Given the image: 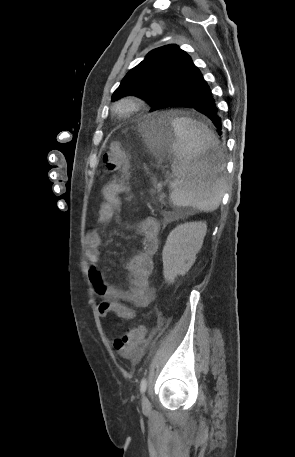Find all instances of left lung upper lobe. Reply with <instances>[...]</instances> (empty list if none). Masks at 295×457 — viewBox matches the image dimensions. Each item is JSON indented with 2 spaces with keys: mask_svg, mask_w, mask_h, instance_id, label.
Wrapping results in <instances>:
<instances>
[{
  "mask_svg": "<svg viewBox=\"0 0 295 457\" xmlns=\"http://www.w3.org/2000/svg\"><path fill=\"white\" fill-rule=\"evenodd\" d=\"M195 67L191 57L175 44L150 51L131 69L115 90L112 99L134 95L153 104L161 103L190 85L188 74Z\"/></svg>",
  "mask_w": 295,
  "mask_h": 457,
  "instance_id": "1",
  "label": "left lung upper lobe"
}]
</instances>
